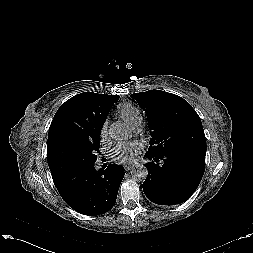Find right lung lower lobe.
<instances>
[{
  "instance_id": "obj_1",
  "label": "right lung lower lobe",
  "mask_w": 253,
  "mask_h": 253,
  "mask_svg": "<svg viewBox=\"0 0 253 253\" xmlns=\"http://www.w3.org/2000/svg\"><path fill=\"white\" fill-rule=\"evenodd\" d=\"M125 172L120 165L110 164L96 170L94 164L52 175L63 200L75 211L89 216L108 212L115 204Z\"/></svg>"
}]
</instances>
